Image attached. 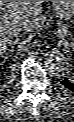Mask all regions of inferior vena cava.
I'll use <instances>...</instances> for the list:
<instances>
[{"label": "inferior vena cava", "mask_w": 74, "mask_h": 122, "mask_svg": "<svg viewBox=\"0 0 74 122\" xmlns=\"http://www.w3.org/2000/svg\"><path fill=\"white\" fill-rule=\"evenodd\" d=\"M14 29L18 32L22 31L23 29H25L26 24L23 22H18L16 21L13 25Z\"/></svg>", "instance_id": "inferior-vena-cava-1"}]
</instances>
